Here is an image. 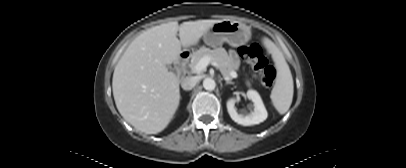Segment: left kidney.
Segmentation results:
<instances>
[{"label": "left kidney", "instance_id": "left-kidney-1", "mask_svg": "<svg viewBox=\"0 0 406 168\" xmlns=\"http://www.w3.org/2000/svg\"><path fill=\"white\" fill-rule=\"evenodd\" d=\"M247 97L253 102V110L250 113H238L235 103L238 101L236 98H230L227 101V110L233 121L243 126H250L259 124L267 119L268 113L263 104L259 93L255 90H248Z\"/></svg>", "mask_w": 406, "mask_h": 168}]
</instances>
